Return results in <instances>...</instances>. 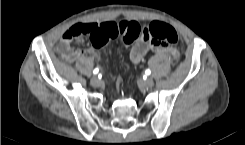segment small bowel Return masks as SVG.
Listing matches in <instances>:
<instances>
[{"mask_svg": "<svg viewBox=\"0 0 245 145\" xmlns=\"http://www.w3.org/2000/svg\"><path fill=\"white\" fill-rule=\"evenodd\" d=\"M123 21L131 22L133 20L127 19ZM119 23L120 22H115L111 20L87 23V24L92 25L93 28L97 32L94 39H92L94 43V48L91 50H85L82 48H74L71 46V40H67L65 38H63L59 42L57 50L59 54L69 63L74 62L76 59L86 54H92L96 57H101L103 54L104 47L111 40L109 33L113 29L118 28ZM66 33L67 32L64 33V36ZM151 51H155L158 54L172 53V49H169L163 45L156 44L154 42H147V41L140 40L136 42V44L132 47L131 52H130V59L134 63H139Z\"/></svg>", "mask_w": 245, "mask_h": 145, "instance_id": "obj_1", "label": "small bowel"}]
</instances>
